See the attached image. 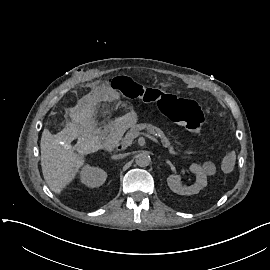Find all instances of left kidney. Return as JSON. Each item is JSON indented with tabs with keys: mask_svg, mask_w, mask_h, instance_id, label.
I'll return each instance as SVG.
<instances>
[{
	"mask_svg": "<svg viewBox=\"0 0 270 270\" xmlns=\"http://www.w3.org/2000/svg\"><path fill=\"white\" fill-rule=\"evenodd\" d=\"M189 171L195 174L197 183L192 184L190 187H182L180 184L181 176L172 174L167 178V184L171 191L179 195H193L207 186L206 174L199 165L192 164L189 166Z\"/></svg>",
	"mask_w": 270,
	"mask_h": 270,
	"instance_id": "5707ae66",
	"label": "left kidney"
}]
</instances>
